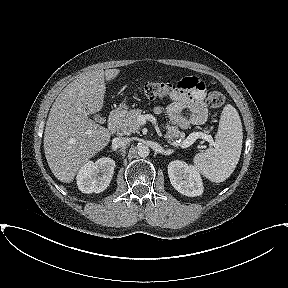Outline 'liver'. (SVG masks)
Returning <instances> with one entry per match:
<instances>
[{
    "instance_id": "obj_1",
    "label": "liver",
    "mask_w": 288,
    "mask_h": 288,
    "mask_svg": "<svg viewBox=\"0 0 288 288\" xmlns=\"http://www.w3.org/2000/svg\"><path fill=\"white\" fill-rule=\"evenodd\" d=\"M119 73V69L83 73L53 103L46 122L44 152L49 168L61 182H72L79 169L109 143L110 131L89 115L103 107L105 80Z\"/></svg>"
}]
</instances>
